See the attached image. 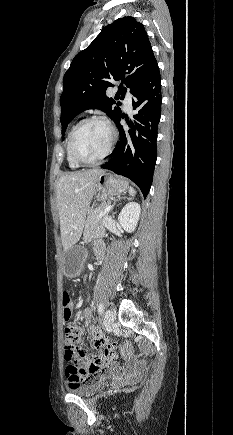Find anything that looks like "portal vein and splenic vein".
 Returning a JSON list of instances; mask_svg holds the SVG:
<instances>
[{"mask_svg": "<svg viewBox=\"0 0 233 435\" xmlns=\"http://www.w3.org/2000/svg\"><path fill=\"white\" fill-rule=\"evenodd\" d=\"M111 209H112V206H111V205H110V206H107L106 209H105V211H104L103 213H101V215H103V214H105V213H108Z\"/></svg>", "mask_w": 233, "mask_h": 435, "instance_id": "1", "label": "portal vein and splenic vein"}]
</instances>
